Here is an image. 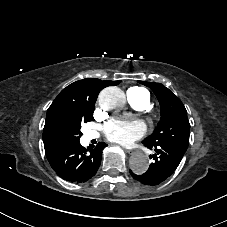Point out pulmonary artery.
<instances>
[{"instance_id": "obj_1", "label": "pulmonary artery", "mask_w": 227, "mask_h": 227, "mask_svg": "<svg viewBox=\"0 0 227 227\" xmlns=\"http://www.w3.org/2000/svg\"><path fill=\"white\" fill-rule=\"evenodd\" d=\"M127 98L128 100L132 101L134 106L136 108H139V109H143L146 107L147 103H146V100L144 98H137L135 97V95H133L132 93H127ZM89 138H95L96 135L94 133H90L88 135Z\"/></svg>"}]
</instances>
